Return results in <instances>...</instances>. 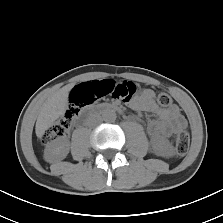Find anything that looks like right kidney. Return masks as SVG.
Listing matches in <instances>:
<instances>
[{
  "label": "right kidney",
  "mask_w": 223,
  "mask_h": 223,
  "mask_svg": "<svg viewBox=\"0 0 223 223\" xmlns=\"http://www.w3.org/2000/svg\"><path fill=\"white\" fill-rule=\"evenodd\" d=\"M70 149V143L64 138L53 140L44 151V157L47 161H55L64 159Z\"/></svg>",
  "instance_id": "1"
}]
</instances>
